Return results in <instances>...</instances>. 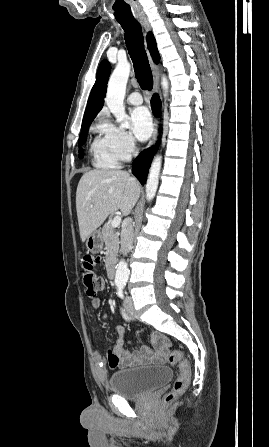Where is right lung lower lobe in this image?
I'll return each mask as SVG.
<instances>
[{"instance_id": "right-lung-lower-lobe-1", "label": "right lung lower lobe", "mask_w": 269, "mask_h": 447, "mask_svg": "<svg viewBox=\"0 0 269 447\" xmlns=\"http://www.w3.org/2000/svg\"><path fill=\"white\" fill-rule=\"evenodd\" d=\"M152 110L155 116H159L161 101L158 94H154L151 99ZM156 148L152 147L142 151L132 164V173L140 181L142 185L146 183L147 174L151 165L152 158L156 152Z\"/></svg>"}]
</instances>
